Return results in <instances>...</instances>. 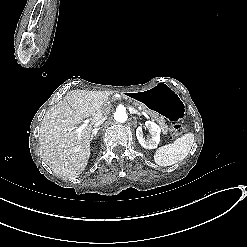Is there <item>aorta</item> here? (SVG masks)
I'll use <instances>...</instances> for the list:
<instances>
[{
	"instance_id": "762f6f07",
	"label": "aorta",
	"mask_w": 247,
	"mask_h": 247,
	"mask_svg": "<svg viewBox=\"0 0 247 247\" xmlns=\"http://www.w3.org/2000/svg\"><path fill=\"white\" fill-rule=\"evenodd\" d=\"M114 119H115L116 122H119V123L126 122L127 119H128V115L126 113V110L123 109V108L117 109L114 112Z\"/></svg>"
}]
</instances>
